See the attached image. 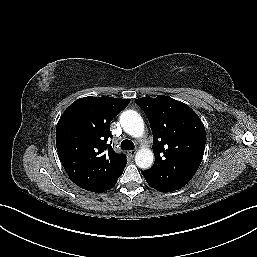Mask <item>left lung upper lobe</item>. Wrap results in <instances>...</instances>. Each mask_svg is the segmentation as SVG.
I'll return each instance as SVG.
<instances>
[{
	"label": "left lung upper lobe",
	"instance_id": "1",
	"mask_svg": "<svg viewBox=\"0 0 257 257\" xmlns=\"http://www.w3.org/2000/svg\"><path fill=\"white\" fill-rule=\"evenodd\" d=\"M135 102L146 114L153 133L155 163L194 176L204 154L206 134L199 116L185 103L168 96Z\"/></svg>",
	"mask_w": 257,
	"mask_h": 257
}]
</instances>
